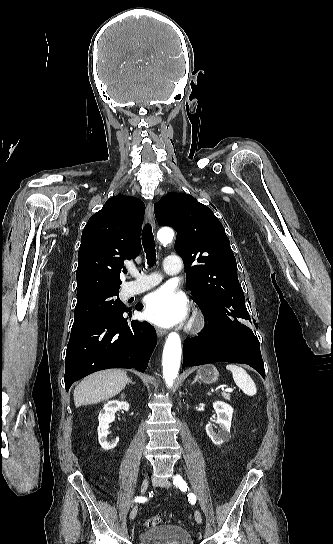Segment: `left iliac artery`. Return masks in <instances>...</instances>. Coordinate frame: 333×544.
<instances>
[{
	"instance_id": "left-iliac-artery-1",
	"label": "left iliac artery",
	"mask_w": 333,
	"mask_h": 544,
	"mask_svg": "<svg viewBox=\"0 0 333 544\" xmlns=\"http://www.w3.org/2000/svg\"><path fill=\"white\" fill-rule=\"evenodd\" d=\"M173 484L178 487L181 491H187L188 487L186 482L182 479L180 475H176L173 479Z\"/></svg>"
}]
</instances>
